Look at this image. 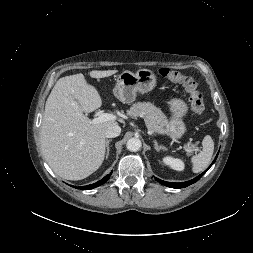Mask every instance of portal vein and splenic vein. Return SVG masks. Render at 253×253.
Masks as SVG:
<instances>
[{
	"label": "portal vein and splenic vein",
	"instance_id": "portal-vein-and-splenic-vein-1",
	"mask_svg": "<svg viewBox=\"0 0 253 253\" xmlns=\"http://www.w3.org/2000/svg\"><path fill=\"white\" fill-rule=\"evenodd\" d=\"M116 116L110 113L99 112L97 117L92 120V123H101L106 121H114Z\"/></svg>",
	"mask_w": 253,
	"mask_h": 253
}]
</instances>
